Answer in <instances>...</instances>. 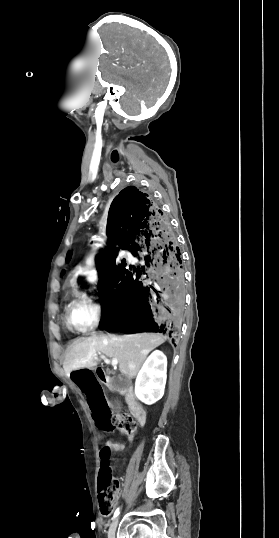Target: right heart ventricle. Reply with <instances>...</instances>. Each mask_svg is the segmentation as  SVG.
Instances as JSON below:
<instances>
[{
	"mask_svg": "<svg viewBox=\"0 0 279 538\" xmlns=\"http://www.w3.org/2000/svg\"><path fill=\"white\" fill-rule=\"evenodd\" d=\"M49 226H54L57 234L62 235L67 241L74 239L76 231H73L71 227L66 229L59 214L56 215L52 223L49 221ZM64 320L70 330L82 331L86 329L83 301L72 300L66 308Z\"/></svg>",
	"mask_w": 279,
	"mask_h": 538,
	"instance_id": "1",
	"label": "right heart ventricle"
}]
</instances>
